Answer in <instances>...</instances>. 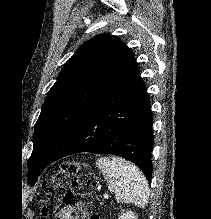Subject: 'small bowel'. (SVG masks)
<instances>
[{
	"label": "small bowel",
	"instance_id": "1",
	"mask_svg": "<svg viewBox=\"0 0 211 219\" xmlns=\"http://www.w3.org/2000/svg\"><path fill=\"white\" fill-rule=\"evenodd\" d=\"M55 219H74L72 209L69 207L61 209Z\"/></svg>",
	"mask_w": 211,
	"mask_h": 219
}]
</instances>
